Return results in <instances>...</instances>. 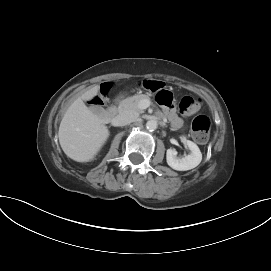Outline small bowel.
I'll list each match as a JSON object with an SVG mask.
<instances>
[{
    "mask_svg": "<svg viewBox=\"0 0 271 271\" xmlns=\"http://www.w3.org/2000/svg\"><path fill=\"white\" fill-rule=\"evenodd\" d=\"M166 115L174 127L181 126V124H182L181 119L178 117V115L176 114V112L172 106H169L166 108Z\"/></svg>",
    "mask_w": 271,
    "mask_h": 271,
    "instance_id": "small-bowel-1",
    "label": "small bowel"
}]
</instances>
